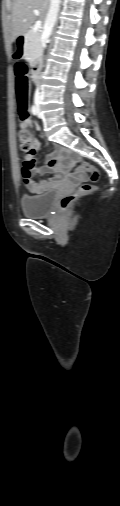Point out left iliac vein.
Returning <instances> with one entry per match:
<instances>
[{
	"label": "left iliac vein",
	"mask_w": 120,
	"mask_h": 506,
	"mask_svg": "<svg viewBox=\"0 0 120 506\" xmlns=\"http://www.w3.org/2000/svg\"><path fill=\"white\" fill-rule=\"evenodd\" d=\"M38 116L41 117V113H40V110L38 109Z\"/></svg>",
	"instance_id": "obj_1"
}]
</instances>
